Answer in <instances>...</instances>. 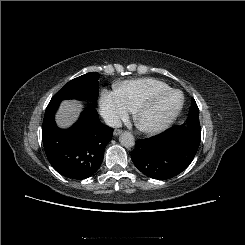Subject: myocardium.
I'll list each match as a JSON object with an SVG mask.
<instances>
[{"mask_svg":"<svg viewBox=\"0 0 245 245\" xmlns=\"http://www.w3.org/2000/svg\"><path fill=\"white\" fill-rule=\"evenodd\" d=\"M173 93H179L180 94L181 102H180L179 106L170 115H168L166 118L162 119L161 121H159L153 125H144L143 123H141L140 115L144 110L148 109L150 106H152L155 102L159 101L160 99H162V98H164L170 94H173ZM183 106H184V95H183V93L178 89L170 88V89L165 90V91L154 93V94L144 98L140 102H138L133 107V119H134L136 126L138 127V129L140 131H142L146 134H157V133H160V132L166 130L176 120V118L181 113Z\"/></svg>","mask_w":245,"mask_h":245,"instance_id":"obj_1","label":"myocardium"}]
</instances>
